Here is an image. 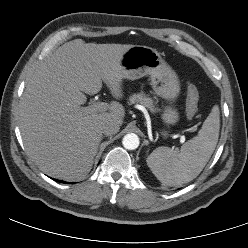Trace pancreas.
I'll use <instances>...</instances> for the list:
<instances>
[{
	"mask_svg": "<svg viewBox=\"0 0 248 248\" xmlns=\"http://www.w3.org/2000/svg\"><path fill=\"white\" fill-rule=\"evenodd\" d=\"M129 104L140 103L142 106L148 108L152 113L157 112L158 109L155 108L153 100L147 97L143 92L138 94H133L129 97Z\"/></svg>",
	"mask_w": 248,
	"mask_h": 248,
	"instance_id": "obj_1",
	"label": "pancreas"
}]
</instances>
